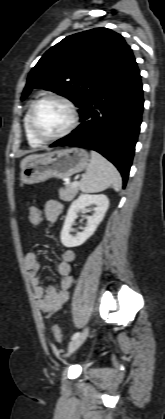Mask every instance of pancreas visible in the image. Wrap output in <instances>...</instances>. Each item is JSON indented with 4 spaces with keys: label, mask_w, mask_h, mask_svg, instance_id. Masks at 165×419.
<instances>
[{
    "label": "pancreas",
    "mask_w": 165,
    "mask_h": 419,
    "mask_svg": "<svg viewBox=\"0 0 165 419\" xmlns=\"http://www.w3.org/2000/svg\"><path fill=\"white\" fill-rule=\"evenodd\" d=\"M65 187L59 190V196L63 201H71L77 195L79 188L78 186H73L72 183H65Z\"/></svg>",
    "instance_id": "pancreas-1"
}]
</instances>
